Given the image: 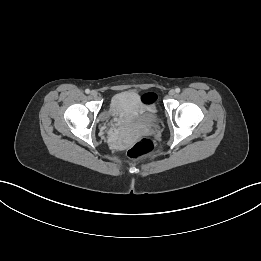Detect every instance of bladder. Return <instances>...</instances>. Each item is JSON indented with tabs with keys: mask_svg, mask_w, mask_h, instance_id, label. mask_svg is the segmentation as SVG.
Segmentation results:
<instances>
[{
	"mask_svg": "<svg viewBox=\"0 0 261 261\" xmlns=\"http://www.w3.org/2000/svg\"><path fill=\"white\" fill-rule=\"evenodd\" d=\"M108 113L113 121L122 125L150 126L158 120V113L152 102L133 90L115 94L110 101Z\"/></svg>",
	"mask_w": 261,
	"mask_h": 261,
	"instance_id": "obj_1",
	"label": "bladder"
}]
</instances>
